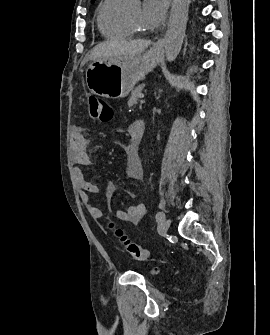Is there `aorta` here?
<instances>
[{"mask_svg":"<svg viewBox=\"0 0 270 335\" xmlns=\"http://www.w3.org/2000/svg\"><path fill=\"white\" fill-rule=\"evenodd\" d=\"M190 0H173L164 46L168 62L177 58L183 44Z\"/></svg>","mask_w":270,"mask_h":335,"instance_id":"obj_1","label":"aorta"}]
</instances>
